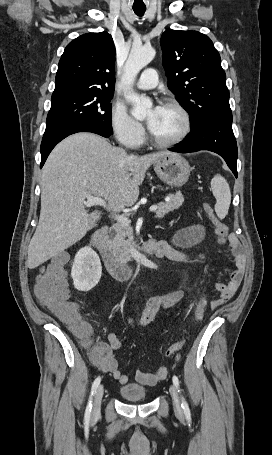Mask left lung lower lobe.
<instances>
[{
  "label": "left lung lower lobe",
  "mask_w": 272,
  "mask_h": 455,
  "mask_svg": "<svg viewBox=\"0 0 272 455\" xmlns=\"http://www.w3.org/2000/svg\"><path fill=\"white\" fill-rule=\"evenodd\" d=\"M170 151L179 153L209 150L223 157L237 177V143L232 130V113L204 119L191 127V133Z\"/></svg>",
  "instance_id": "1"
}]
</instances>
